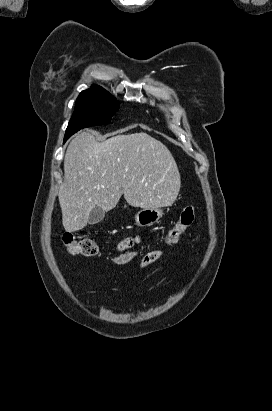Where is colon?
Wrapping results in <instances>:
<instances>
[{
	"label": "colon",
	"mask_w": 272,
	"mask_h": 411,
	"mask_svg": "<svg viewBox=\"0 0 272 411\" xmlns=\"http://www.w3.org/2000/svg\"><path fill=\"white\" fill-rule=\"evenodd\" d=\"M195 220V208L191 205L186 206L179 217L175 226L168 232L165 241L168 244L177 243L181 236L193 224ZM62 241L67 251L74 255H81L84 257H92L98 252V245L94 239L89 236L78 238L72 232H64ZM134 253L127 252L118 256L115 262L119 265L129 262Z\"/></svg>",
	"instance_id": "obj_1"
}]
</instances>
